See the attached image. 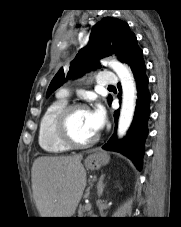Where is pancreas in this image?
Wrapping results in <instances>:
<instances>
[{
	"mask_svg": "<svg viewBox=\"0 0 181 227\" xmlns=\"http://www.w3.org/2000/svg\"><path fill=\"white\" fill-rule=\"evenodd\" d=\"M86 211H87L86 206H80L78 210L79 217H86L85 216Z\"/></svg>",
	"mask_w": 181,
	"mask_h": 227,
	"instance_id": "1",
	"label": "pancreas"
}]
</instances>
